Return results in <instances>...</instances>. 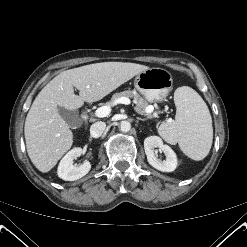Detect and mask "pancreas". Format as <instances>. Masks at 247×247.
I'll return each instance as SVG.
<instances>
[{"label":"pancreas","instance_id":"obj_1","mask_svg":"<svg viewBox=\"0 0 247 247\" xmlns=\"http://www.w3.org/2000/svg\"><path fill=\"white\" fill-rule=\"evenodd\" d=\"M121 97L134 98V102L136 104L134 109L140 114H145L149 117L151 116V115L145 113V109L148 106L147 101L144 100L142 97H140L135 91L128 90V91H123L120 93H115L112 96L111 100L109 102H107V105L108 106H114L116 100L121 98Z\"/></svg>","mask_w":247,"mask_h":247}]
</instances>
